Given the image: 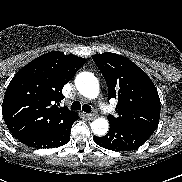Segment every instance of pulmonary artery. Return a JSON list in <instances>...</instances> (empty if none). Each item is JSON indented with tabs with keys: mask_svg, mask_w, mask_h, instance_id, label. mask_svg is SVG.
<instances>
[{
	"mask_svg": "<svg viewBox=\"0 0 182 182\" xmlns=\"http://www.w3.org/2000/svg\"><path fill=\"white\" fill-rule=\"evenodd\" d=\"M99 107H100L101 110H102L103 112H105V113L109 111L108 106H107L106 104H104L103 102H100V103H99Z\"/></svg>",
	"mask_w": 182,
	"mask_h": 182,
	"instance_id": "e3ab8cb5",
	"label": "pulmonary artery"
}]
</instances>
